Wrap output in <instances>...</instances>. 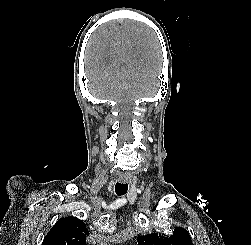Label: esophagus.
<instances>
[{"label":"esophagus","instance_id":"1","mask_svg":"<svg viewBox=\"0 0 251 245\" xmlns=\"http://www.w3.org/2000/svg\"><path fill=\"white\" fill-rule=\"evenodd\" d=\"M121 181H122V182H127V180H125V179H121Z\"/></svg>","mask_w":251,"mask_h":245}]
</instances>
